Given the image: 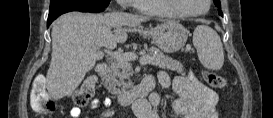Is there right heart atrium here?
<instances>
[{"instance_id":"d8ad5b80","label":"right heart atrium","mask_w":273,"mask_h":118,"mask_svg":"<svg viewBox=\"0 0 273 118\" xmlns=\"http://www.w3.org/2000/svg\"><path fill=\"white\" fill-rule=\"evenodd\" d=\"M118 2H119V4H120V6H121L122 8H124V9L129 8V7H132L133 4L135 3L134 0H119Z\"/></svg>"}]
</instances>
